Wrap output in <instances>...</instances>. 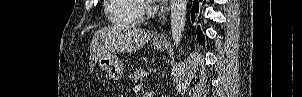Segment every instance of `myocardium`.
<instances>
[{"mask_svg":"<svg viewBox=\"0 0 302 97\" xmlns=\"http://www.w3.org/2000/svg\"><path fill=\"white\" fill-rule=\"evenodd\" d=\"M142 5H144V2L143 1H139Z\"/></svg>","mask_w":302,"mask_h":97,"instance_id":"obj_1","label":"myocardium"}]
</instances>
